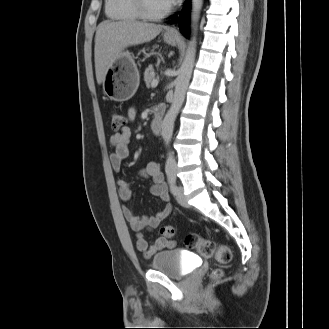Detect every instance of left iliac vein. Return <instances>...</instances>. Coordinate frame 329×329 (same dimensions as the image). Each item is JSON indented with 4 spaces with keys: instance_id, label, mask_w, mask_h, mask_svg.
Here are the masks:
<instances>
[{
    "instance_id": "4c4485c4",
    "label": "left iliac vein",
    "mask_w": 329,
    "mask_h": 329,
    "mask_svg": "<svg viewBox=\"0 0 329 329\" xmlns=\"http://www.w3.org/2000/svg\"><path fill=\"white\" fill-rule=\"evenodd\" d=\"M176 200L177 202L183 206V207H189V204L185 198V195H184V189L182 186H179L178 187V192L176 194Z\"/></svg>"
}]
</instances>
